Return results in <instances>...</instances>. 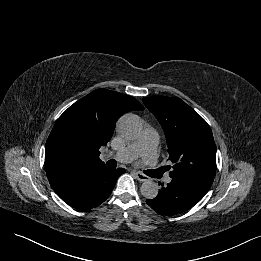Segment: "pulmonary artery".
<instances>
[{
	"label": "pulmonary artery",
	"instance_id": "obj_1",
	"mask_svg": "<svg viewBox=\"0 0 261 261\" xmlns=\"http://www.w3.org/2000/svg\"><path fill=\"white\" fill-rule=\"evenodd\" d=\"M158 139L156 130L146 128L134 142L109 156L123 163H129L138 157H143L147 163L155 164L157 160L156 148ZM171 180L170 176H166L164 179L165 183H170Z\"/></svg>",
	"mask_w": 261,
	"mask_h": 261
}]
</instances>
